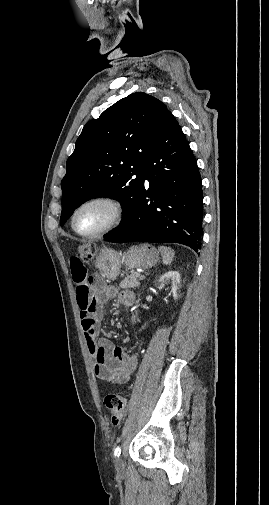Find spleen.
Here are the masks:
<instances>
[{
  "label": "spleen",
  "mask_w": 269,
  "mask_h": 505,
  "mask_svg": "<svg viewBox=\"0 0 269 505\" xmlns=\"http://www.w3.org/2000/svg\"><path fill=\"white\" fill-rule=\"evenodd\" d=\"M159 251L162 256L163 264H165V265L171 264L173 257H174V250L170 247L159 246Z\"/></svg>",
  "instance_id": "1"
}]
</instances>
